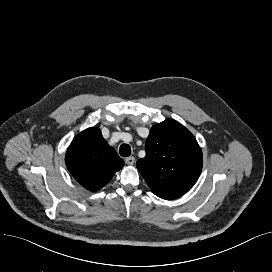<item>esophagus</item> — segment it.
Here are the masks:
<instances>
[{"label":"esophagus","mask_w":272,"mask_h":272,"mask_svg":"<svg viewBox=\"0 0 272 272\" xmlns=\"http://www.w3.org/2000/svg\"><path fill=\"white\" fill-rule=\"evenodd\" d=\"M125 162H126L128 165H133L134 162H135V158H134L133 156L127 157V158L125 159Z\"/></svg>","instance_id":"1"}]
</instances>
